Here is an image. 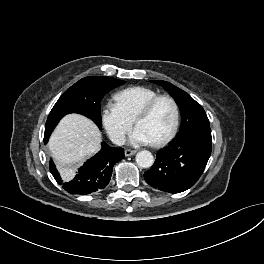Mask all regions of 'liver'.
I'll list each match as a JSON object with an SVG mask.
<instances>
[{
  "label": "liver",
  "mask_w": 264,
  "mask_h": 264,
  "mask_svg": "<svg viewBox=\"0 0 264 264\" xmlns=\"http://www.w3.org/2000/svg\"><path fill=\"white\" fill-rule=\"evenodd\" d=\"M101 133L96 124L79 114L65 116L50 137L48 148L64 178L100 149Z\"/></svg>",
  "instance_id": "liver-1"
}]
</instances>
